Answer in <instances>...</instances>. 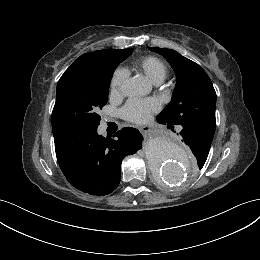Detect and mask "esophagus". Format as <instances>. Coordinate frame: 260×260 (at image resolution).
Wrapping results in <instances>:
<instances>
[{
	"label": "esophagus",
	"mask_w": 260,
	"mask_h": 260,
	"mask_svg": "<svg viewBox=\"0 0 260 260\" xmlns=\"http://www.w3.org/2000/svg\"><path fill=\"white\" fill-rule=\"evenodd\" d=\"M139 130L143 132L144 134H151L152 130L149 125H140Z\"/></svg>",
	"instance_id": "esophagus-1"
}]
</instances>
